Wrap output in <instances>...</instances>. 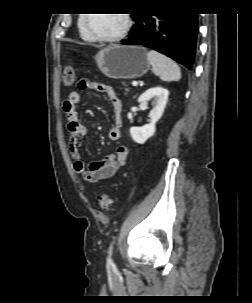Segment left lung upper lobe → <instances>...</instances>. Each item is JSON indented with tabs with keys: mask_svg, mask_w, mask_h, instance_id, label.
<instances>
[{
	"mask_svg": "<svg viewBox=\"0 0 252 303\" xmlns=\"http://www.w3.org/2000/svg\"><path fill=\"white\" fill-rule=\"evenodd\" d=\"M139 14H134L133 17L136 20V18L138 17Z\"/></svg>",
	"mask_w": 252,
	"mask_h": 303,
	"instance_id": "left-lung-upper-lobe-1",
	"label": "left lung upper lobe"
}]
</instances>
